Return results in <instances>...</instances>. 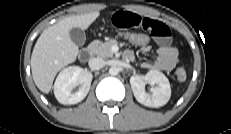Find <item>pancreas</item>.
Segmentation results:
<instances>
[{"mask_svg":"<svg viewBox=\"0 0 231 134\" xmlns=\"http://www.w3.org/2000/svg\"><path fill=\"white\" fill-rule=\"evenodd\" d=\"M118 45V42L115 39H111L107 42H101L99 40H95L91 43L90 49L91 51L99 57L102 58H110L113 57V52L111 50L112 46Z\"/></svg>","mask_w":231,"mask_h":134,"instance_id":"obj_1","label":"pancreas"}]
</instances>
